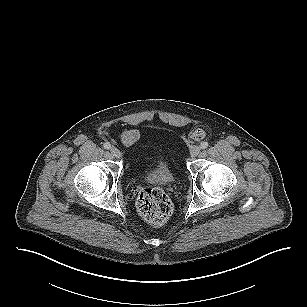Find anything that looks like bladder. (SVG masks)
<instances>
[{
	"instance_id": "obj_1",
	"label": "bladder",
	"mask_w": 307,
	"mask_h": 307,
	"mask_svg": "<svg viewBox=\"0 0 307 307\" xmlns=\"http://www.w3.org/2000/svg\"><path fill=\"white\" fill-rule=\"evenodd\" d=\"M147 175L148 178L152 180L168 178L170 176V171L164 162H160L150 170Z\"/></svg>"
}]
</instances>
